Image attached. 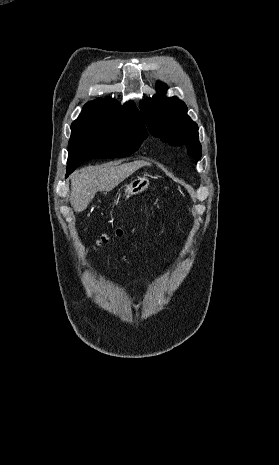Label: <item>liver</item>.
Here are the masks:
<instances>
[{
	"mask_svg": "<svg viewBox=\"0 0 279 465\" xmlns=\"http://www.w3.org/2000/svg\"><path fill=\"white\" fill-rule=\"evenodd\" d=\"M144 166H150V163L140 160L121 165L106 163L75 172L71 177V206L76 213L84 211L98 191H111Z\"/></svg>",
	"mask_w": 279,
	"mask_h": 465,
	"instance_id": "obj_1",
	"label": "liver"
}]
</instances>
